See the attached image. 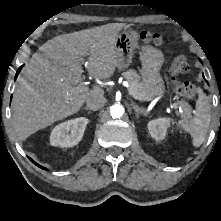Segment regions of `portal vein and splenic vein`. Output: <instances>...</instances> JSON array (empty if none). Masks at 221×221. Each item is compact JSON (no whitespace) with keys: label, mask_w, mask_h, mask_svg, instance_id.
I'll return each instance as SVG.
<instances>
[{"label":"portal vein and splenic vein","mask_w":221,"mask_h":221,"mask_svg":"<svg viewBox=\"0 0 221 221\" xmlns=\"http://www.w3.org/2000/svg\"><path fill=\"white\" fill-rule=\"evenodd\" d=\"M86 65H87V62H86ZM87 90H88V87L85 86V84H82V85H80V86H78V87L76 88V91H78V92H85V91H87ZM172 107H173L174 109H177V105H176V104H172Z\"/></svg>","instance_id":"18ae733b"}]
</instances>
